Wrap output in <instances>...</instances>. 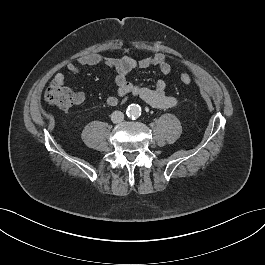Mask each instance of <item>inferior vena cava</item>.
<instances>
[{
  "mask_svg": "<svg viewBox=\"0 0 265 265\" xmlns=\"http://www.w3.org/2000/svg\"><path fill=\"white\" fill-rule=\"evenodd\" d=\"M124 119V114L121 111H114L111 114V120L113 123H120Z\"/></svg>",
  "mask_w": 265,
  "mask_h": 265,
  "instance_id": "inferior-vena-cava-1",
  "label": "inferior vena cava"
}]
</instances>
